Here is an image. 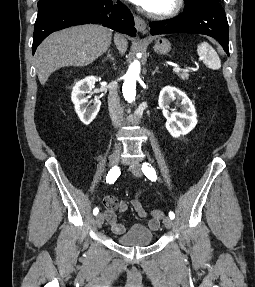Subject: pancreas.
Here are the masks:
<instances>
[{
	"mask_svg": "<svg viewBox=\"0 0 255 287\" xmlns=\"http://www.w3.org/2000/svg\"><path fill=\"white\" fill-rule=\"evenodd\" d=\"M177 76H180L181 80H188L189 74L188 72H183V74H179V72H176Z\"/></svg>",
	"mask_w": 255,
	"mask_h": 287,
	"instance_id": "obj_1",
	"label": "pancreas"
}]
</instances>
